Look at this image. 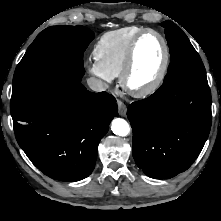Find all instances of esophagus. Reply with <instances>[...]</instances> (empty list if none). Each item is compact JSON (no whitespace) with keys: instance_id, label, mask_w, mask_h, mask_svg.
<instances>
[{"instance_id":"obj_1","label":"esophagus","mask_w":221,"mask_h":221,"mask_svg":"<svg viewBox=\"0 0 221 221\" xmlns=\"http://www.w3.org/2000/svg\"><path fill=\"white\" fill-rule=\"evenodd\" d=\"M117 105H118L119 114L121 116H125L126 112H127L126 105L122 101H120V100L117 101Z\"/></svg>"}]
</instances>
